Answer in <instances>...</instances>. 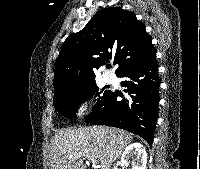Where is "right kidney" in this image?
Segmentation results:
<instances>
[{
    "label": "right kidney",
    "mask_w": 200,
    "mask_h": 169,
    "mask_svg": "<svg viewBox=\"0 0 200 169\" xmlns=\"http://www.w3.org/2000/svg\"><path fill=\"white\" fill-rule=\"evenodd\" d=\"M132 161V169H146L147 153L145 148L140 143H132L126 147L121 157V164L128 165L129 159Z\"/></svg>",
    "instance_id": "1"
}]
</instances>
